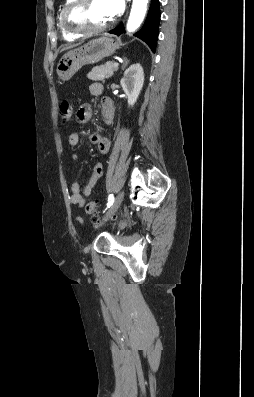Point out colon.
Returning <instances> with one entry per match:
<instances>
[{
	"label": "colon",
	"mask_w": 254,
	"mask_h": 397,
	"mask_svg": "<svg viewBox=\"0 0 254 397\" xmlns=\"http://www.w3.org/2000/svg\"><path fill=\"white\" fill-rule=\"evenodd\" d=\"M60 117L63 122L70 120L73 115V105L70 101L64 100L59 107ZM86 212L92 218H96L98 214V202L96 200L90 201L86 205Z\"/></svg>",
	"instance_id": "obj_1"
}]
</instances>
